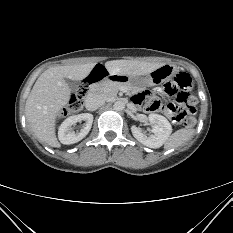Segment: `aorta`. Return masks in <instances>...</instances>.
<instances>
[{
  "mask_svg": "<svg viewBox=\"0 0 233 233\" xmlns=\"http://www.w3.org/2000/svg\"><path fill=\"white\" fill-rule=\"evenodd\" d=\"M125 108V103L123 101H116L113 105L115 111H122Z\"/></svg>",
  "mask_w": 233,
  "mask_h": 233,
  "instance_id": "1",
  "label": "aorta"
}]
</instances>
